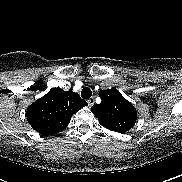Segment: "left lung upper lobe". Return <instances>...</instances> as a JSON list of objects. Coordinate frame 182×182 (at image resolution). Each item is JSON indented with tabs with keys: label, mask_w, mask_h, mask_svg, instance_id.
Returning a JSON list of instances; mask_svg holds the SVG:
<instances>
[{
	"label": "left lung upper lobe",
	"mask_w": 182,
	"mask_h": 182,
	"mask_svg": "<svg viewBox=\"0 0 182 182\" xmlns=\"http://www.w3.org/2000/svg\"><path fill=\"white\" fill-rule=\"evenodd\" d=\"M99 96L101 103L93 105L91 111L103 127L124 133L135 125V107L116 88L101 91Z\"/></svg>",
	"instance_id": "1"
}]
</instances>
